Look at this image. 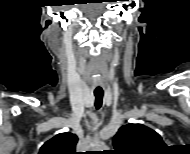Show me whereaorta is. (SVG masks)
I'll use <instances>...</instances> for the list:
<instances>
[{
  "label": "aorta",
  "mask_w": 190,
  "mask_h": 154,
  "mask_svg": "<svg viewBox=\"0 0 190 154\" xmlns=\"http://www.w3.org/2000/svg\"><path fill=\"white\" fill-rule=\"evenodd\" d=\"M101 148H102V149H105V148H107V147H106L105 145H102Z\"/></svg>",
  "instance_id": "762f6f07"
}]
</instances>
